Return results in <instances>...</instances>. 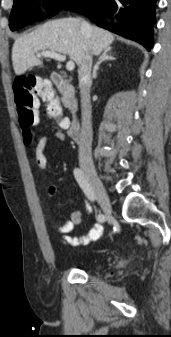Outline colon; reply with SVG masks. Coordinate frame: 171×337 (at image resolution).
Instances as JSON below:
<instances>
[{
    "instance_id": "obj_1",
    "label": "colon",
    "mask_w": 171,
    "mask_h": 337,
    "mask_svg": "<svg viewBox=\"0 0 171 337\" xmlns=\"http://www.w3.org/2000/svg\"><path fill=\"white\" fill-rule=\"evenodd\" d=\"M14 92L19 124L27 145L32 143L34 133L41 130L39 126H34L38 122L36 96H40L41 103H47V106L40 107L43 119H53L60 127L67 126L65 113L61 109L63 100H59L57 91H52L45 79L38 76H20L14 83Z\"/></svg>"
}]
</instances>
